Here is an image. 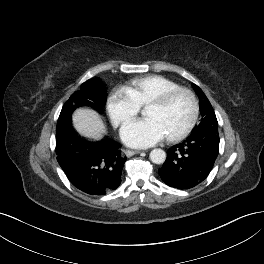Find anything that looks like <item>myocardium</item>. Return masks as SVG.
I'll list each match as a JSON object with an SVG mask.
<instances>
[{"label": "myocardium", "mask_w": 264, "mask_h": 264, "mask_svg": "<svg viewBox=\"0 0 264 264\" xmlns=\"http://www.w3.org/2000/svg\"><path fill=\"white\" fill-rule=\"evenodd\" d=\"M179 95H186L189 98L192 107V112L188 123L181 130L166 136L167 140L171 142L179 141L185 138L195 127L200 112L199 102L197 100L196 95L194 94L193 91H191L188 88L177 87L163 93L162 95L151 100L147 104V107L148 106L165 107Z\"/></svg>", "instance_id": "f54148a6"}]
</instances>
